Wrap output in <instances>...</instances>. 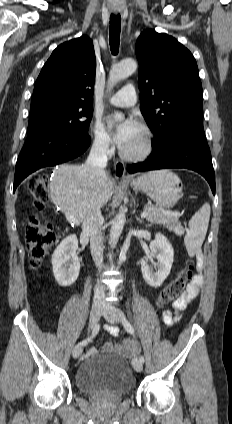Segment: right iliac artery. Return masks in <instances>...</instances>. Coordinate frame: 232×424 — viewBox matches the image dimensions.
<instances>
[{"instance_id":"1","label":"right iliac artery","mask_w":232,"mask_h":424,"mask_svg":"<svg viewBox=\"0 0 232 424\" xmlns=\"http://www.w3.org/2000/svg\"><path fill=\"white\" fill-rule=\"evenodd\" d=\"M99 330H100V325L95 324L92 328L91 336L89 338L83 340L82 342H80L78 345L85 346L86 344H88V342L92 341L93 337L99 332Z\"/></svg>"}]
</instances>
